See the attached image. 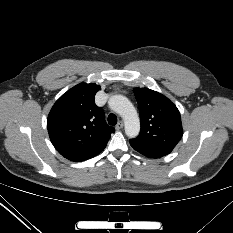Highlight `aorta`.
Here are the masks:
<instances>
[{"label": "aorta", "instance_id": "762f6f07", "mask_svg": "<svg viewBox=\"0 0 233 233\" xmlns=\"http://www.w3.org/2000/svg\"><path fill=\"white\" fill-rule=\"evenodd\" d=\"M108 104L113 111L123 118L126 135L129 138H135L140 131V120L133 104L122 95L112 96Z\"/></svg>", "mask_w": 233, "mask_h": 233}]
</instances>
